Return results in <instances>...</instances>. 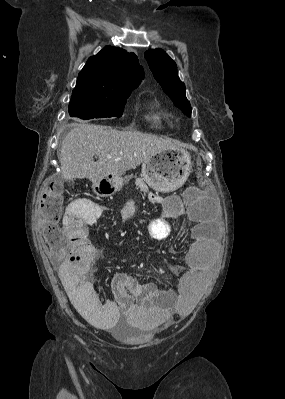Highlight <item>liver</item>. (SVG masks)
I'll return each instance as SVG.
<instances>
[{
    "mask_svg": "<svg viewBox=\"0 0 285 399\" xmlns=\"http://www.w3.org/2000/svg\"><path fill=\"white\" fill-rule=\"evenodd\" d=\"M175 148L172 140L156 135L79 123L65 136L59 161L63 179L93 181L107 175L121 176L158 152ZM94 155L98 156L96 162Z\"/></svg>",
    "mask_w": 285,
    "mask_h": 399,
    "instance_id": "obj_1",
    "label": "liver"
}]
</instances>
